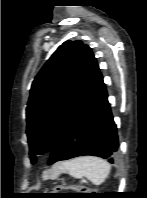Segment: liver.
<instances>
[{
  "mask_svg": "<svg viewBox=\"0 0 147 198\" xmlns=\"http://www.w3.org/2000/svg\"><path fill=\"white\" fill-rule=\"evenodd\" d=\"M64 165L65 163H58L54 166L51 174L52 179H55L60 174L61 171H64Z\"/></svg>",
  "mask_w": 147,
  "mask_h": 198,
  "instance_id": "liver-1",
  "label": "liver"
}]
</instances>
